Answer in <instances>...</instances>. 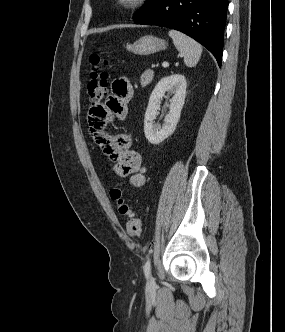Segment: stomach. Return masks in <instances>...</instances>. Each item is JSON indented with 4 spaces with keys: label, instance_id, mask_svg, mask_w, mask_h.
Listing matches in <instances>:
<instances>
[{
    "label": "stomach",
    "instance_id": "1",
    "mask_svg": "<svg viewBox=\"0 0 285 332\" xmlns=\"http://www.w3.org/2000/svg\"><path fill=\"white\" fill-rule=\"evenodd\" d=\"M168 43L153 35H146L138 39L133 44H127V49L138 55H150L161 50H165Z\"/></svg>",
    "mask_w": 285,
    "mask_h": 332
}]
</instances>
